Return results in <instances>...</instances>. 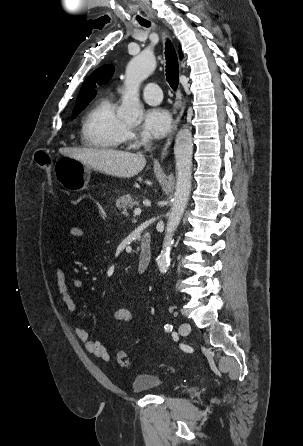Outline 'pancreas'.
<instances>
[{
    "instance_id": "cf45deb5",
    "label": "pancreas",
    "mask_w": 303,
    "mask_h": 446,
    "mask_svg": "<svg viewBox=\"0 0 303 446\" xmlns=\"http://www.w3.org/2000/svg\"><path fill=\"white\" fill-rule=\"evenodd\" d=\"M136 203L137 202L132 198L131 195L126 194L117 199L116 206L123 215H126L127 211L131 209Z\"/></svg>"
}]
</instances>
